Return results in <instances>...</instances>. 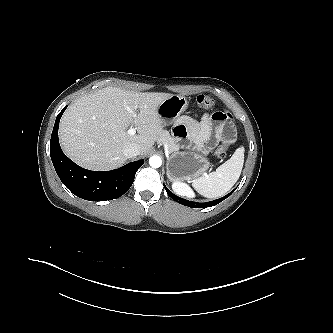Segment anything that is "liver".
Wrapping results in <instances>:
<instances>
[{"label": "liver", "mask_w": 333, "mask_h": 333, "mask_svg": "<svg viewBox=\"0 0 333 333\" xmlns=\"http://www.w3.org/2000/svg\"><path fill=\"white\" fill-rule=\"evenodd\" d=\"M171 94L106 87L77 99L59 126L61 146L73 161L91 170H109L126 161L123 148L148 153L164 133L159 105ZM139 109V111H138ZM134 127L138 134L127 133Z\"/></svg>", "instance_id": "liver-1"}]
</instances>
